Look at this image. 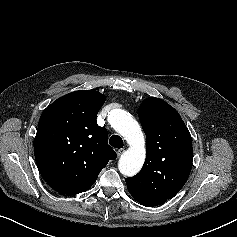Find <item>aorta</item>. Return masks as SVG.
Returning <instances> with one entry per match:
<instances>
[{
  "mask_svg": "<svg viewBox=\"0 0 237 237\" xmlns=\"http://www.w3.org/2000/svg\"><path fill=\"white\" fill-rule=\"evenodd\" d=\"M108 120L114 130L121 134L130 146L119 159V171L125 176H134L141 170L146 156L142 130L131 114L123 109L111 110Z\"/></svg>",
  "mask_w": 237,
  "mask_h": 237,
  "instance_id": "obj_1",
  "label": "aorta"
}]
</instances>
